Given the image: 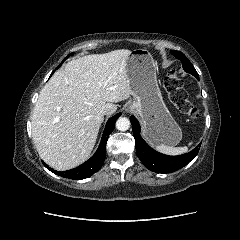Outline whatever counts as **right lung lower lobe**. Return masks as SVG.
<instances>
[{"label": "right lung lower lobe", "instance_id": "obj_1", "mask_svg": "<svg viewBox=\"0 0 240 240\" xmlns=\"http://www.w3.org/2000/svg\"><path fill=\"white\" fill-rule=\"evenodd\" d=\"M120 115H121V113H118L117 115H114L107 121L105 131L103 133L100 145H99L96 153L88 161H86L85 163H83L82 165H80L74 169L67 170L65 172L53 170V169L49 168V166L43 162L44 166L47 167L50 171H52L56 175H59V176L65 177V178L80 180V179H84V178H88V177L92 176L94 173L99 171L103 165V162H104L105 156H106L107 140L109 138L110 133L114 130L115 122L119 118Z\"/></svg>", "mask_w": 240, "mask_h": 240}]
</instances>
